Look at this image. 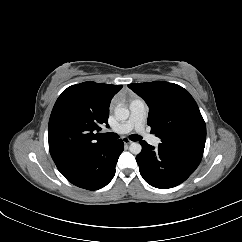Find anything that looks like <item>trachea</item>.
<instances>
[{"label": "trachea", "instance_id": "1", "mask_svg": "<svg viewBox=\"0 0 242 242\" xmlns=\"http://www.w3.org/2000/svg\"><path fill=\"white\" fill-rule=\"evenodd\" d=\"M103 138L108 139V140H116L119 138V136L116 133L109 132V133H104L101 135ZM141 136L139 135H131L130 140L132 141H139L141 140Z\"/></svg>", "mask_w": 242, "mask_h": 242}]
</instances>
